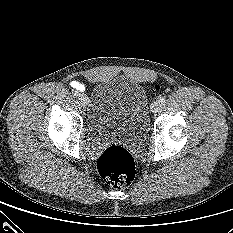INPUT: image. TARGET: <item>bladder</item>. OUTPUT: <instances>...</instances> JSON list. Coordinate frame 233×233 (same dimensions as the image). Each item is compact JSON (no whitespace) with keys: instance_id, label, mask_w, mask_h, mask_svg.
<instances>
[{"instance_id":"1","label":"bladder","mask_w":233,"mask_h":233,"mask_svg":"<svg viewBox=\"0 0 233 233\" xmlns=\"http://www.w3.org/2000/svg\"><path fill=\"white\" fill-rule=\"evenodd\" d=\"M87 124L94 140L120 138L135 142L149 125V100L144 87L124 76L99 82L93 89Z\"/></svg>"}]
</instances>
